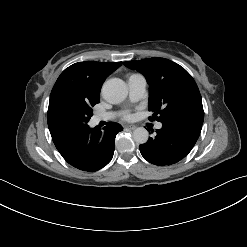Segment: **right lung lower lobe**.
<instances>
[{
  "label": "right lung lower lobe",
  "instance_id": "right-lung-lower-lobe-1",
  "mask_svg": "<svg viewBox=\"0 0 247 247\" xmlns=\"http://www.w3.org/2000/svg\"><path fill=\"white\" fill-rule=\"evenodd\" d=\"M121 125L109 122L104 131L99 127L86 128L62 136L54 144L62 157L73 167L94 172L106 166L112 159L115 137L122 131Z\"/></svg>",
  "mask_w": 247,
  "mask_h": 247
}]
</instances>
